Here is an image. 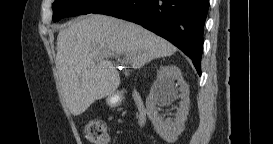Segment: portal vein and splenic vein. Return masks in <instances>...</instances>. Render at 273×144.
<instances>
[{
	"mask_svg": "<svg viewBox=\"0 0 273 144\" xmlns=\"http://www.w3.org/2000/svg\"><path fill=\"white\" fill-rule=\"evenodd\" d=\"M111 56H115V58H118V60H120L119 54L118 55H116V54H109L108 55V57H111ZM130 59H131V56L129 54L125 53V55H124L125 62H129Z\"/></svg>",
	"mask_w": 273,
	"mask_h": 144,
	"instance_id": "1",
	"label": "portal vein and splenic vein"
}]
</instances>
